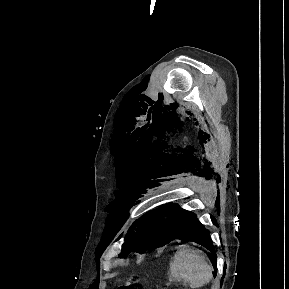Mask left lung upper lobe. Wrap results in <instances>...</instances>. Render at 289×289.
I'll return each mask as SVG.
<instances>
[{"instance_id":"5c2ea615","label":"left lung upper lobe","mask_w":289,"mask_h":289,"mask_svg":"<svg viewBox=\"0 0 289 289\" xmlns=\"http://www.w3.org/2000/svg\"><path fill=\"white\" fill-rule=\"evenodd\" d=\"M162 208L152 210L136 220L128 230L120 257L130 252L143 253L149 247H161L168 242V224Z\"/></svg>"}]
</instances>
